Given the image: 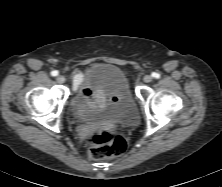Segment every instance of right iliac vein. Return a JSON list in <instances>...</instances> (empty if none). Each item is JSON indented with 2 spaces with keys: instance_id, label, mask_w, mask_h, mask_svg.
Instances as JSON below:
<instances>
[{
  "instance_id": "63e3f726",
  "label": "right iliac vein",
  "mask_w": 222,
  "mask_h": 187,
  "mask_svg": "<svg viewBox=\"0 0 222 187\" xmlns=\"http://www.w3.org/2000/svg\"><path fill=\"white\" fill-rule=\"evenodd\" d=\"M56 81L60 84L64 83L65 82V78L64 76L62 75H58L57 78H56Z\"/></svg>"
}]
</instances>
